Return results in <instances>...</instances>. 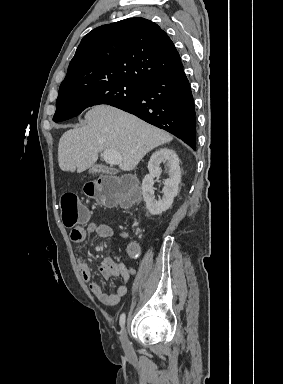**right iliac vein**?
<instances>
[{"label": "right iliac vein", "instance_id": "obj_1", "mask_svg": "<svg viewBox=\"0 0 283 384\" xmlns=\"http://www.w3.org/2000/svg\"><path fill=\"white\" fill-rule=\"evenodd\" d=\"M120 341H121L123 350L126 353V355L132 356L133 355V349H132L131 343L128 339L127 331L125 328H123V330L121 332Z\"/></svg>", "mask_w": 283, "mask_h": 384}]
</instances>
